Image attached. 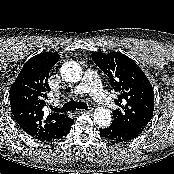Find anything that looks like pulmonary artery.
<instances>
[{
  "mask_svg": "<svg viewBox=\"0 0 174 174\" xmlns=\"http://www.w3.org/2000/svg\"><path fill=\"white\" fill-rule=\"evenodd\" d=\"M71 93L75 95H82L84 93L90 94L93 99L101 105L112 107L113 103L108 93L103 89V86L93 71H86L80 84H78Z\"/></svg>",
  "mask_w": 174,
  "mask_h": 174,
  "instance_id": "obj_1",
  "label": "pulmonary artery"
}]
</instances>
